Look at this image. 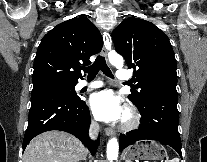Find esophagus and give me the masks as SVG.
Wrapping results in <instances>:
<instances>
[{"label": "esophagus", "mask_w": 207, "mask_h": 162, "mask_svg": "<svg viewBox=\"0 0 207 162\" xmlns=\"http://www.w3.org/2000/svg\"><path fill=\"white\" fill-rule=\"evenodd\" d=\"M103 40H104V46L102 49V54L107 58L109 49L111 48L112 39L110 35H107L106 37L104 36ZM105 133L107 136L114 135V131L110 128H106Z\"/></svg>", "instance_id": "obj_1"}]
</instances>
